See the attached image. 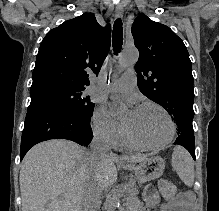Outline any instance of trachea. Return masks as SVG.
Wrapping results in <instances>:
<instances>
[{"instance_id": "obj_1", "label": "trachea", "mask_w": 219, "mask_h": 211, "mask_svg": "<svg viewBox=\"0 0 219 211\" xmlns=\"http://www.w3.org/2000/svg\"><path fill=\"white\" fill-rule=\"evenodd\" d=\"M113 51L114 54L117 55L123 45V24L120 18H117L115 20L114 25H113Z\"/></svg>"}]
</instances>
